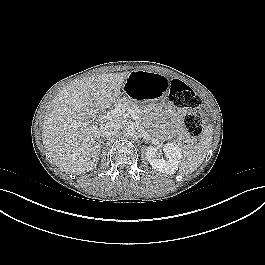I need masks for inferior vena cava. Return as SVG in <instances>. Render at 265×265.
Masks as SVG:
<instances>
[{
    "label": "inferior vena cava",
    "instance_id": "1",
    "mask_svg": "<svg viewBox=\"0 0 265 265\" xmlns=\"http://www.w3.org/2000/svg\"><path fill=\"white\" fill-rule=\"evenodd\" d=\"M118 133V126L113 122H107L100 127V136L101 137H111Z\"/></svg>",
    "mask_w": 265,
    "mask_h": 265
}]
</instances>
